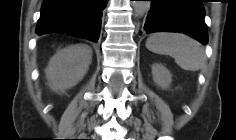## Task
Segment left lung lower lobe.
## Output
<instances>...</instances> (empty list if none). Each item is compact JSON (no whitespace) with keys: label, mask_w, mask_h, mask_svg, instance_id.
<instances>
[{"label":"left lung lower lobe","mask_w":236,"mask_h":140,"mask_svg":"<svg viewBox=\"0 0 236 140\" xmlns=\"http://www.w3.org/2000/svg\"><path fill=\"white\" fill-rule=\"evenodd\" d=\"M202 0H152L144 30L182 32L203 45L208 43Z\"/></svg>","instance_id":"1"}]
</instances>
